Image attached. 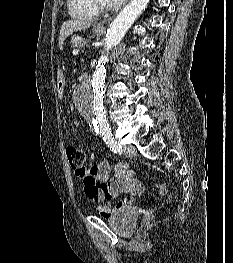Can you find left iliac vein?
Masks as SVG:
<instances>
[{
  "label": "left iliac vein",
  "instance_id": "4c4485c4",
  "mask_svg": "<svg viewBox=\"0 0 233 263\" xmlns=\"http://www.w3.org/2000/svg\"><path fill=\"white\" fill-rule=\"evenodd\" d=\"M123 152L128 157H133L137 154V150L133 145H125L123 148Z\"/></svg>",
  "mask_w": 233,
  "mask_h": 263
}]
</instances>
